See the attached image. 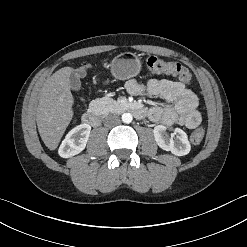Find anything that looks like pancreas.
I'll return each mask as SVG.
<instances>
[{
	"label": "pancreas",
	"instance_id": "1",
	"mask_svg": "<svg viewBox=\"0 0 247 247\" xmlns=\"http://www.w3.org/2000/svg\"><path fill=\"white\" fill-rule=\"evenodd\" d=\"M92 105L96 108L97 113L103 116L108 113H117L124 109V105L109 96L93 100Z\"/></svg>",
	"mask_w": 247,
	"mask_h": 247
}]
</instances>
